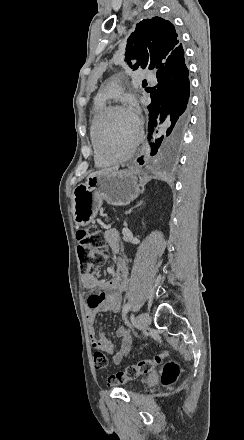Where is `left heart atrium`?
<instances>
[{
	"label": "left heart atrium",
	"instance_id": "39dd6f15",
	"mask_svg": "<svg viewBox=\"0 0 244 440\" xmlns=\"http://www.w3.org/2000/svg\"><path fill=\"white\" fill-rule=\"evenodd\" d=\"M127 114L128 121L134 130V136L139 135V128L142 123V113L141 109L137 103L132 102L125 110Z\"/></svg>",
	"mask_w": 244,
	"mask_h": 440
}]
</instances>
